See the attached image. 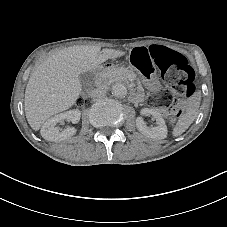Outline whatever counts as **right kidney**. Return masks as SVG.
<instances>
[{
    "mask_svg": "<svg viewBox=\"0 0 227 227\" xmlns=\"http://www.w3.org/2000/svg\"><path fill=\"white\" fill-rule=\"evenodd\" d=\"M81 117V112L78 109L69 110L60 114H57L50 119H48L42 126L40 130L41 136L52 142L62 141L76 134V129L74 127H67L66 129L60 131V128L56 126L57 123L68 120L73 124L79 122Z\"/></svg>",
    "mask_w": 227,
    "mask_h": 227,
    "instance_id": "ca27d5eb",
    "label": "right kidney"
}]
</instances>
